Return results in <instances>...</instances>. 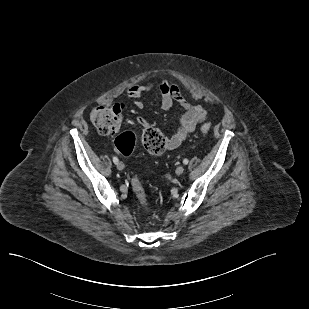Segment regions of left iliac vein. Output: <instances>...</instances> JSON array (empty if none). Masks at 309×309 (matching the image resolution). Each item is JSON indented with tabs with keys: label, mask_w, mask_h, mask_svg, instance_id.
<instances>
[{
	"label": "left iliac vein",
	"mask_w": 309,
	"mask_h": 309,
	"mask_svg": "<svg viewBox=\"0 0 309 309\" xmlns=\"http://www.w3.org/2000/svg\"><path fill=\"white\" fill-rule=\"evenodd\" d=\"M184 172V167L183 166H178L175 170L176 175H181Z\"/></svg>",
	"instance_id": "left-iliac-vein-1"
}]
</instances>
